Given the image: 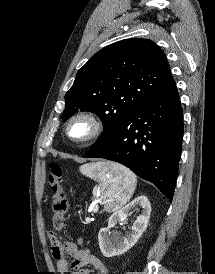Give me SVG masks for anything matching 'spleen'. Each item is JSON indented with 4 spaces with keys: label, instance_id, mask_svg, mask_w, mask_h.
Listing matches in <instances>:
<instances>
[{
    "label": "spleen",
    "instance_id": "spleen-1",
    "mask_svg": "<svg viewBox=\"0 0 215 274\" xmlns=\"http://www.w3.org/2000/svg\"><path fill=\"white\" fill-rule=\"evenodd\" d=\"M80 172L100 182L97 188L104 210L114 212L130 199L135 191L136 176L127 168L118 164L97 162L84 164Z\"/></svg>",
    "mask_w": 215,
    "mask_h": 274
}]
</instances>
